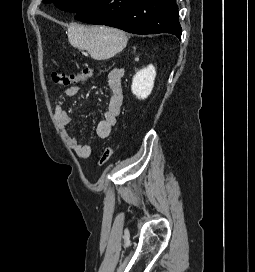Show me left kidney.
Here are the masks:
<instances>
[{
	"label": "left kidney",
	"instance_id": "1",
	"mask_svg": "<svg viewBox=\"0 0 255 272\" xmlns=\"http://www.w3.org/2000/svg\"><path fill=\"white\" fill-rule=\"evenodd\" d=\"M156 70L153 65L139 70L133 77L131 90L138 99L147 98L154 87Z\"/></svg>",
	"mask_w": 255,
	"mask_h": 272
}]
</instances>
